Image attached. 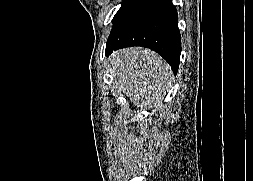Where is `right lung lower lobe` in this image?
I'll use <instances>...</instances> for the list:
<instances>
[{
	"label": "right lung lower lobe",
	"mask_w": 253,
	"mask_h": 181,
	"mask_svg": "<svg viewBox=\"0 0 253 181\" xmlns=\"http://www.w3.org/2000/svg\"><path fill=\"white\" fill-rule=\"evenodd\" d=\"M143 46L156 51L171 66L179 68L181 37L172 0H136L114 24L106 43L113 50Z\"/></svg>",
	"instance_id": "obj_1"
}]
</instances>
